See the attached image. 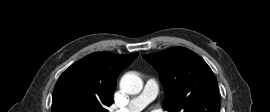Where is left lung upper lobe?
Returning a JSON list of instances; mask_svg holds the SVG:
<instances>
[{
  "label": "left lung upper lobe",
  "mask_w": 270,
  "mask_h": 112,
  "mask_svg": "<svg viewBox=\"0 0 270 112\" xmlns=\"http://www.w3.org/2000/svg\"><path fill=\"white\" fill-rule=\"evenodd\" d=\"M159 72L168 112H219L218 83L196 53L176 47L143 56Z\"/></svg>",
  "instance_id": "5c2ea615"
}]
</instances>
